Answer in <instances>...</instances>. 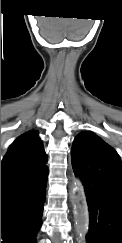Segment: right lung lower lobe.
Wrapping results in <instances>:
<instances>
[{
  "mask_svg": "<svg viewBox=\"0 0 122 243\" xmlns=\"http://www.w3.org/2000/svg\"><path fill=\"white\" fill-rule=\"evenodd\" d=\"M48 168L1 186V243H36Z\"/></svg>",
  "mask_w": 122,
  "mask_h": 243,
  "instance_id": "obj_1",
  "label": "right lung lower lobe"
}]
</instances>
